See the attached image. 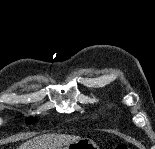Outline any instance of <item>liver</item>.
I'll list each match as a JSON object with an SVG mask.
<instances>
[{
	"label": "liver",
	"instance_id": "6515ba94",
	"mask_svg": "<svg viewBox=\"0 0 155 149\" xmlns=\"http://www.w3.org/2000/svg\"><path fill=\"white\" fill-rule=\"evenodd\" d=\"M80 140L79 136L65 134H44L36 136L17 149H61L64 145Z\"/></svg>",
	"mask_w": 155,
	"mask_h": 149
}]
</instances>
